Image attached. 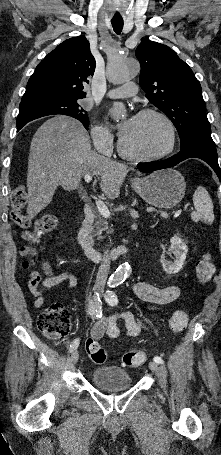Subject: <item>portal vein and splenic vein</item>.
<instances>
[{
  "label": "portal vein and splenic vein",
  "mask_w": 221,
  "mask_h": 455,
  "mask_svg": "<svg viewBox=\"0 0 221 455\" xmlns=\"http://www.w3.org/2000/svg\"><path fill=\"white\" fill-rule=\"evenodd\" d=\"M84 180L86 183H89L92 181V176L90 174H86L84 176ZM96 206H97V209L99 211V213L106 219H108L110 217V212L107 208V206L101 201V200H96ZM182 212V209H179L178 211H176L174 213V218L178 217ZM168 217V216H166Z\"/></svg>",
  "instance_id": "18ae733b"
}]
</instances>
